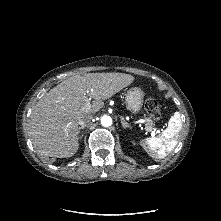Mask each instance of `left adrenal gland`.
I'll list each match as a JSON object with an SVG mask.
<instances>
[{"label":"left adrenal gland","instance_id":"a2214340","mask_svg":"<svg viewBox=\"0 0 221 221\" xmlns=\"http://www.w3.org/2000/svg\"><path fill=\"white\" fill-rule=\"evenodd\" d=\"M120 118H121V123H122L123 128L124 129H126V128L131 129V126L128 124V122H126V120L123 117H120Z\"/></svg>","mask_w":221,"mask_h":221}]
</instances>
